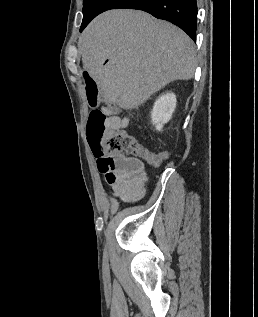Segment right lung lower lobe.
<instances>
[{
    "label": "right lung lower lobe",
    "mask_w": 258,
    "mask_h": 317,
    "mask_svg": "<svg viewBox=\"0 0 258 317\" xmlns=\"http://www.w3.org/2000/svg\"><path fill=\"white\" fill-rule=\"evenodd\" d=\"M116 8L143 10L158 19L167 20L196 41V0H89L83 6L82 31L98 14Z\"/></svg>",
    "instance_id": "obj_1"
}]
</instances>
